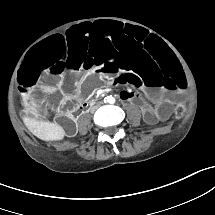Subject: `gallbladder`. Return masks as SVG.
<instances>
[{
  "label": "gallbladder",
  "instance_id": "gallbladder-1",
  "mask_svg": "<svg viewBox=\"0 0 215 215\" xmlns=\"http://www.w3.org/2000/svg\"><path fill=\"white\" fill-rule=\"evenodd\" d=\"M38 113L40 116H42L45 119H50L54 115L53 108L48 104H42L38 108Z\"/></svg>",
  "mask_w": 215,
  "mask_h": 215
}]
</instances>
